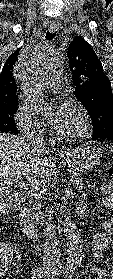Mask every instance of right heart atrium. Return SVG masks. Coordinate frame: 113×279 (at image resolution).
Listing matches in <instances>:
<instances>
[{"mask_svg": "<svg viewBox=\"0 0 113 279\" xmlns=\"http://www.w3.org/2000/svg\"><path fill=\"white\" fill-rule=\"evenodd\" d=\"M17 128L27 139H37L46 132L43 121L24 102H20L14 113Z\"/></svg>", "mask_w": 113, "mask_h": 279, "instance_id": "right-heart-atrium-1", "label": "right heart atrium"}]
</instances>
